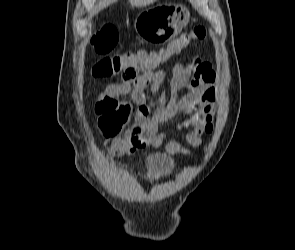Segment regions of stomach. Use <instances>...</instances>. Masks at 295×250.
<instances>
[{
  "instance_id": "obj_1",
  "label": "stomach",
  "mask_w": 295,
  "mask_h": 250,
  "mask_svg": "<svg viewBox=\"0 0 295 250\" xmlns=\"http://www.w3.org/2000/svg\"><path fill=\"white\" fill-rule=\"evenodd\" d=\"M190 20L182 5L160 4L144 11L136 21V31L148 45H163L178 35Z\"/></svg>"
}]
</instances>
